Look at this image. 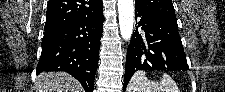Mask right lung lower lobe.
I'll return each instance as SVG.
<instances>
[{"mask_svg": "<svg viewBox=\"0 0 225 92\" xmlns=\"http://www.w3.org/2000/svg\"><path fill=\"white\" fill-rule=\"evenodd\" d=\"M103 21L102 12L44 33L37 74L64 71L76 78L85 92H93Z\"/></svg>", "mask_w": 225, "mask_h": 92, "instance_id": "obj_1", "label": "right lung lower lobe"}]
</instances>
